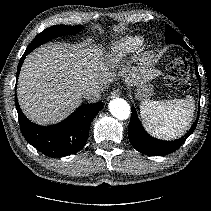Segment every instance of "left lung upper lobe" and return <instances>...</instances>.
<instances>
[{"label": "left lung upper lobe", "instance_id": "obj_1", "mask_svg": "<svg viewBox=\"0 0 211 211\" xmlns=\"http://www.w3.org/2000/svg\"><path fill=\"white\" fill-rule=\"evenodd\" d=\"M165 30H166L165 38L168 43H175L176 41L182 39L171 26L166 25Z\"/></svg>", "mask_w": 211, "mask_h": 211}]
</instances>
